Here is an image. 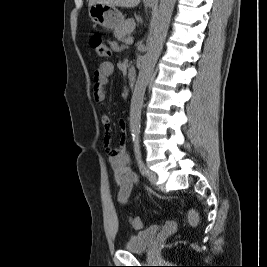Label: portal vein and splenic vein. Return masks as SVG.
I'll return each instance as SVG.
<instances>
[{"mask_svg":"<svg viewBox=\"0 0 267 267\" xmlns=\"http://www.w3.org/2000/svg\"><path fill=\"white\" fill-rule=\"evenodd\" d=\"M127 44H132L133 43V37H128L126 40Z\"/></svg>","mask_w":267,"mask_h":267,"instance_id":"18ae733b","label":"portal vein and splenic vein"}]
</instances>
